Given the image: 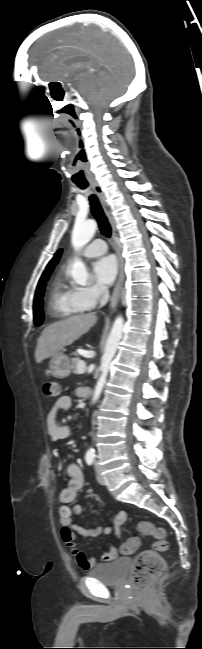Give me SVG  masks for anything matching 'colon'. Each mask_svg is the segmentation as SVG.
Wrapping results in <instances>:
<instances>
[{"mask_svg": "<svg viewBox=\"0 0 202 649\" xmlns=\"http://www.w3.org/2000/svg\"><path fill=\"white\" fill-rule=\"evenodd\" d=\"M45 396L56 398L61 393V387L56 381H46L43 384ZM154 537L155 542L151 549L140 552L134 559L131 570V581L133 586L143 591L163 572L164 561L160 555L168 547L166 531L157 527L149 521H140L136 526V538L130 540L123 546L124 552H131L137 545L140 538Z\"/></svg>", "mask_w": 202, "mask_h": 649, "instance_id": "colon-1", "label": "colon"}]
</instances>
